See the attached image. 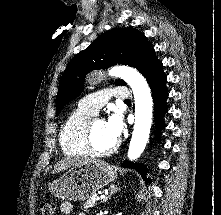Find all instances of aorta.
Instances as JSON below:
<instances>
[{"label": "aorta", "instance_id": "762f6f07", "mask_svg": "<svg viewBox=\"0 0 221 215\" xmlns=\"http://www.w3.org/2000/svg\"><path fill=\"white\" fill-rule=\"evenodd\" d=\"M109 75L123 79L133 91L135 124L127 156L129 160H135L142 154L149 139L153 111L151 91L145 78L132 67H112Z\"/></svg>", "mask_w": 221, "mask_h": 215}]
</instances>
